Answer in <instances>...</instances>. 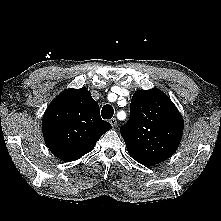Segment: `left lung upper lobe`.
<instances>
[{"mask_svg": "<svg viewBox=\"0 0 221 221\" xmlns=\"http://www.w3.org/2000/svg\"><path fill=\"white\" fill-rule=\"evenodd\" d=\"M183 119L160 90H138L130 104L129 121L120 128L127 151L144 165L167 160L176 151L183 133Z\"/></svg>", "mask_w": 221, "mask_h": 221, "instance_id": "left-lung-upper-lobe-1", "label": "left lung upper lobe"}]
</instances>
